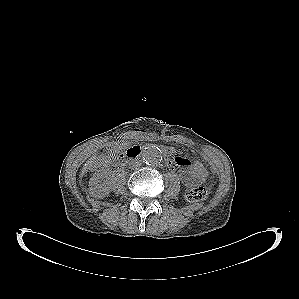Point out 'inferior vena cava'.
<instances>
[{"label": "inferior vena cava", "instance_id": "inferior-vena-cava-1", "mask_svg": "<svg viewBox=\"0 0 299 299\" xmlns=\"http://www.w3.org/2000/svg\"><path fill=\"white\" fill-rule=\"evenodd\" d=\"M140 165H141V163L139 161L132 162V168L133 169H137Z\"/></svg>", "mask_w": 299, "mask_h": 299}]
</instances>
